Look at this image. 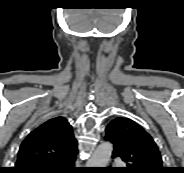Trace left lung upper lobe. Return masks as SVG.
Masks as SVG:
<instances>
[{"mask_svg": "<svg viewBox=\"0 0 184 173\" xmlns=\"http://www.w3.org/2000/svg\"><path fill=\"white\" fill-rule=\"evenodd\" d=\"M105 140L113 144L112 157L127 163L126 173H165L162 158L152 137L136 122L118 117L106 127Z\"/></svg>", "mask_w": 184, "mask_h": 173, "instance_id": "5c2ea615", "label": "left lung upper lobe"}]
</instances>
